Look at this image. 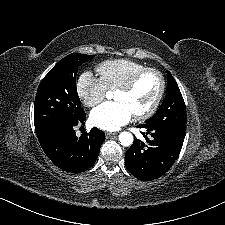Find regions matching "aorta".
Listing matches in <instances>:
<instances>
[{
    "label": "aorta",
    "mask_w": 225,
    "mask_h": 225,
    "mask_svg": "<svg viewBox=\"0 0 225 225\" xmlns=\"http://www.w3.org/2000/svg\"><path fill=\"white\" fill-rule=\"evenodd\" d=\"M119 141L122 146H130L133 143V136L130 132L124 131L119 134Z\"/></svg>",
    "instance_id": "762f6f07"
}]
</instances>
